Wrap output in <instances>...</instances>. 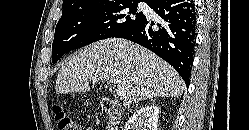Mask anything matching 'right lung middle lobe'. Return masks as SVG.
I'll use <instances>...</instances> for the list:
<instances>
[{"label":"right lung middle lobe","instance_id":"obj_1","mask_svg":"<svg viewBox=\"0 0 249 130\" xmlns=\"http://www.w3.org/2000/svg\"><path fill=\"white\" fill-rule=\"evenodd\" d=\"M139 2L110 1L64 12L55 29L53 63L68 51L101 39L119 37L144 18L142 12H137Z\"/></svg>","mask_w":249,"mask_h":130}]
</instances>
